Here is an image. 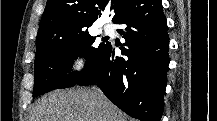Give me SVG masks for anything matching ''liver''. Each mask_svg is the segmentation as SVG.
I'll return each instance as SVG.
<instances>
[{"label": "liver", "instance_id": "6515ba94", "mask_svg": "<svg viewBox=\"0 0 217 121\" xmlns=\"http://www.w3.org/2000/svg\"><path fill=\"white\" fill-rule=\"evenodd\" d=\"M31 121H126L124 114L95 89L57 90L41 98Z\"/></svg>", "mask_w": 217, "mask_h": 121}]
</instances>
